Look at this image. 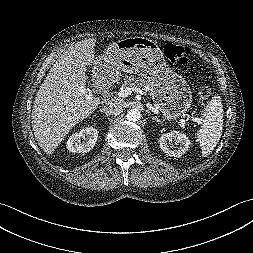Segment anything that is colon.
<instances>
[{
  "instance_id": "5ec220e1",
  "label": "colon",
  "mask_w": 253,
  "mask_h": 253,
  "mask_svg": "<svg viewBox=\"0 0 253 253\" xmlns=\"http://www.w3.org/2000/svg\"><path fill=\"white\" fill-rule=\"evenodd\" d=\"M165 57L175 65H185L190 59V50L187 47L168 43L164 46ZM210 90L208 87L202 86L199 90V96L202 99L208 98Z\"/></svg>"
}]
</instances>
